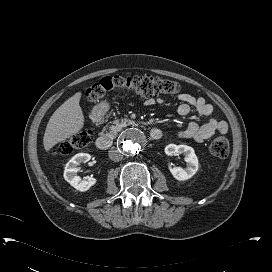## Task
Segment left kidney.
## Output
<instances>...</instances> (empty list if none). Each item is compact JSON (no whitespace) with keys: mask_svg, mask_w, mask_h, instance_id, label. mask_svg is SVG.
<instances>
[{"mask_svg":"<svg viewBox=\"0 0 272 272\" xmlns=\"http://www.w3.org/2000/svg\"><path fill=\"white\" fill-rule=\"evenodd\" d=\"M165 153L169 156L184 154V160L187 163L185 168L182 167H171L169 169L173 177L179 181L188 180L195 175L198 171V158L192 147L187 145H175L169 144L165 147Z\"/></svg>","mask_w":272,"mask_h":272,"instance_id":"5707ae66","label":"left kidney"}]
</instances>
